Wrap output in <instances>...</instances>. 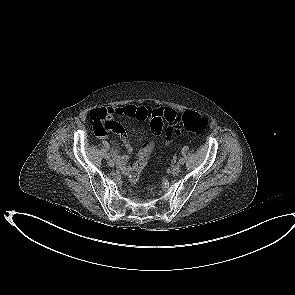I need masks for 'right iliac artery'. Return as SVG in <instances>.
<instances>
[{
  "label": "right iliac artery",
  "mask_w": 295,
  "mask_h": 295,
  "mask_svg": "<svg viewBox=\"0 0 295 295\" xmlns=\"http://www.w3.org/2000/svg\"><path fill=\"white\" fill-rule=\"evenodd\" d=\"M107 159H110V155H109V156H107Z\"/></svg>",
  "instance_id": "right-iliac-artery-1"
}]
</instances>
